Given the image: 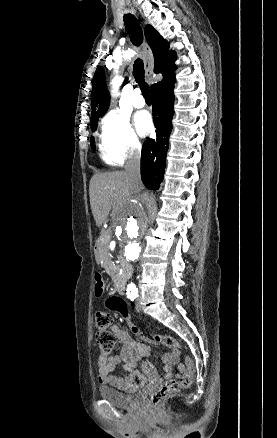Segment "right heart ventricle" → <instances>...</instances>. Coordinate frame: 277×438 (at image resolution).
Returning a JSON list of instances; mask_svg holds the SVG:
<instances>
[{
  "label": "right heart ventricle",
  "instance_id": "obj_1",
  "mask_svg": "<svg viewBox=\"0 0 277 438\" xmlns=\"http://www.w3.org/2000/svg\"><path fill=\"white\" fill-rule=\"evenodd\" d=\"M113 84V83H112ZM99 148L101 151V157L104 162L109 165H118L122 160L114 148V145L106 131L102 132L99 138Z\"/></svg>",
  "mask_w": 277,
  "mask_h": 438
}]
</instances>
